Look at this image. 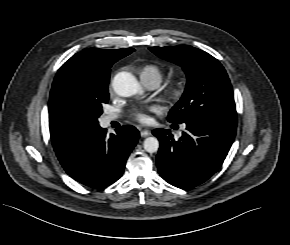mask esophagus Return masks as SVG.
<instances>
[{
  "label": "esophagus",
  "mask_w": 290,
  "mask_h": 245,
  "mask_svg": "<svg viewBox=\"0 0 290 245\" xmlns=\"http://www.w3.org/2000/svg\"><path fill=\"white\" fill-rule=\"evenodd\" d=\"M140 135H141V137L145 138V137L151 135V131L147 130V129H143V130H141Z\"/></svg>",
  "instance_id": "obj_1"
}]
</instances>
